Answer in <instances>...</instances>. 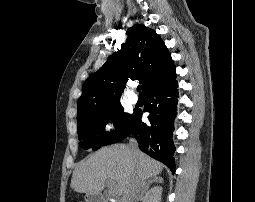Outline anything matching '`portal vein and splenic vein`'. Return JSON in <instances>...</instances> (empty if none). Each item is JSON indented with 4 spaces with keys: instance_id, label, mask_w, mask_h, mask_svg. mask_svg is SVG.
Segmentation results:
<instances>
[{
    "instance_id": "obj_1",
    "label": "portal vein and splenic vein",
    "mask_w": 255,
    "mask_h": 202,
    "mask_svg": "<svg viewBox=\"0 0 255 202\" xmlns=\"http://www.w3.org/2000/svg\"><path fill=\"white\" fill-rule=\"evenodd\" d=\"M107 184L110 185V192L112 195L116 194L115 188H114V183L112 181H107Z\"/></svg>"
}]
</instances>
